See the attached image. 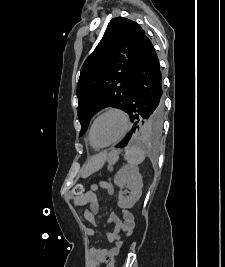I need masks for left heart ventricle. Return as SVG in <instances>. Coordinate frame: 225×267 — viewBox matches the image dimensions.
I'll return each instance as SVG.
<instances>
[{
    "instance_id": "left-heart-ventricle-1",
    "label": "left heart ventricle",
    "mask_w": 225,
    "mask_h": 267,
    "mask_svg": "<svg viewBox=\"0 0 225 267\" xmlns=\"http://www.w3.org/2000/svg\"><path fill=\"white\" fill-rule=\"evenodd\" d=\"M123 129V119L116 113H109L97 120L92 132L94 144L103 145L116 139Z\"/></svg>"
}]
</instances>
